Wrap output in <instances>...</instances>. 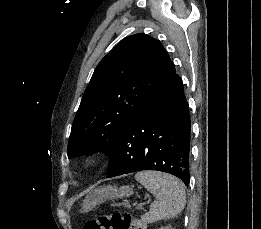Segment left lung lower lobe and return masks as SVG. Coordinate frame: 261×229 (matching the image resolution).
I'll return each instance as SVG.
<instances>
[{
	"instance_id": "1",
	"label": "left lung lower lobe",
	"mask_w": 261,
	"mask_h": 229,
	"mask_svg": "<svg viewBox=\"0 0 261 229\" xmlns=\"http://www.w3.org/2000/svg\"><path fill=\"white\" fill-rule=\"evenodd\" d=\"M189 107L182 80L174 73L142 104L110 155L107 178L158 170L190 181Z\"/></svg>"
}]
</instances>
